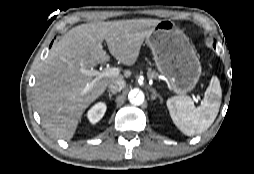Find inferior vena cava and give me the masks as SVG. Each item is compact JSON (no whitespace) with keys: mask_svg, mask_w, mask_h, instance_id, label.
I'll return each instance as SVG.
<instances>
[{"mask_svg":"<svg viewBox=\"0 0 254 174\" xmlns=\"http://www.w3.org/2000/svg\"><path fill=\"white\" fill-rule=\"evenodd\" d=\"M125 85L126 83L124 80H115L108 85V88L111 91L118 92L121 91L125 87Z\"/></svg>","mask_w":254,"mask_h":174,"instance_id":"602c4592","label":"inferior vena cava"}]
</instances>
